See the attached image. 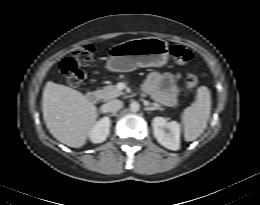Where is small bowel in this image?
Returning a JSON list of instances; mask_svg holds the SVG:
<instances>
[{
    "instance_id": "1",
    "label": "small bowel",
    "mask_w": 260,
    "mask_h": 205,
    "mask_svg": "<svg viewBox=\"0 0 260 205\" xmlns=\"http://www.w3.org/2000/svg\"><path fill=\"white\" fill-rule=\"evenodd\" d=\"M179 75L152 72L148 75L145 90L157 101L172 106L177 101Z\"/></svg>"
}]
</instances>
